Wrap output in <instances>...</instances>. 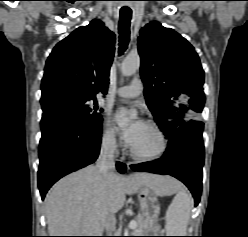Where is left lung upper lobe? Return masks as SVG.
I'll return each mask as SVG.
<instances>
[{
	"mask_svg": "<svg viewBox=\"0 0 248 237\" xmlns=\"http://www.w3.org/2000/svg\"><path fill=\"white\" fill-rule=\"evenodd\" d=\"M138 52L146 103L166 138L196 120L205 104L204 71L193 46L173 29L152 21L140 31Z\"/></svg>",
	"mask_w": 248,
	"mask_h": 237,
	"instance_id": "1",
	"label": "left lung upper lobe"
}]
</instances>
